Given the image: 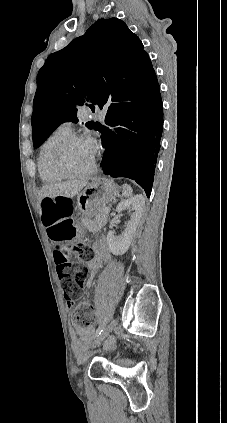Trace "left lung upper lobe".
Instances as JSON below:
<instances>
[{
    "mask_svg": "<svg viewBox=\"0 0 227 423\" xmlns=\"http://www.w3.org/2000/svg\"><path fill=\"white\" fill-rule=\"evenodd\" d=\"M153 71L142 42L122 20H98L83 36L49 55L39 70L32 114L34 148L61 123L77 122V106L85 101L108 111L129 108ZM86 126L100 131L101 124Z\"/></svg>",
    "mask_w": 227,
    "mask_h": 423,
    "instance_id": "1",
    "label": "left lung upper lobe"
}]
</instances>
